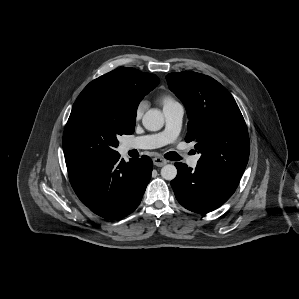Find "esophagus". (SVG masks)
Segmentation results:
<instances>
[{
  "label": "esophagus",
  "mask_w": 299,
  "mask_h": 299,
  "mask_svg": "<svg viewBox=\"0 0 299 299\" xmlns=\"http://www.w3.org/2000/svg\"><path fill=\"white\" fill-rule=\"evenodd\" d=\"M153 163L157 167H162L167 163V160H165L161 157H155V158H153Z\"/></svg>",
  "instance_id": "esophagus-1"
}]
</instances>
